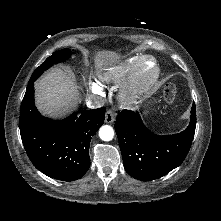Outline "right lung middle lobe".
<instances>
[{"label": "right lung middle lobe", "instance_id": "right-lung-middle-lobe-1", "mask_svg": "<svg viewBox=\"0 0 221 221\" xmlns=\"http://www.w3.org/2000/svg\"><path fill=\"white\" fill-rule=\"evenodd\" d=\"M70 55V50L68 48L60 50L55 52L52 56L47 58L33 73L31 76L29 83L34 82L36 79L39 78V76L47 70L49 67H51L54 63H58L61 61H64L68 58ZM28 83V84H29Z\"/></svg>", "mask_w": 221, "mask_h": 221}]
</instances>
